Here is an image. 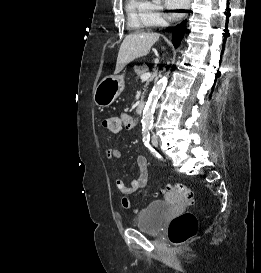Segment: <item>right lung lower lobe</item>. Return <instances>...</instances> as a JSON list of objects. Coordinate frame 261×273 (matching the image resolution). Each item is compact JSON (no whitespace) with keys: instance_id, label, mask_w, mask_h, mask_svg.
Masks as SVG:
<instances>
[{"instance_id":"obj_1","label":"right lung lower lobe","mask_w":261,"mask_h":273,"mask_svg":"<svg viewBox=\"0 0 261 273\" xmlns=\"http://www.w3.org/2000/svg\"><path fill=\"white\" fill-rule=\"evenodd\" d=\"M184 31H185V21H183L180 25H177L174 28L173 35H172V42L176 48L180 45V41L183 38Z\"/></svg>"}]
</instances>
